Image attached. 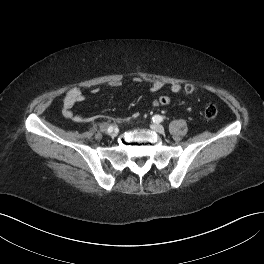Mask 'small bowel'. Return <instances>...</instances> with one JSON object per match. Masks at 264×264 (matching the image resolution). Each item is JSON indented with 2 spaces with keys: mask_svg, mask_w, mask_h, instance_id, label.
<instances>
[{
  "mask_svg": "<svg viewBox=\"0 0 264 264\" xmlns=\"http://www.w3.org/2000/svg\"><path fill=\"white\" fill-rule=\"evenodd\" d=\"M140 78H134V82H140ZM122 82L120 80H112L109 83L110 87H119L121 86ZM164 87V83L162 81L156 80L150 84V91L151 92H158ZM173 93H179L181 91V86L179 84H172L170 87ZM98 89L94 88L92 90L93 93L97 92ZM85 100L83 92L80 88L74 87L67 91L63 100V108H62V115L67 118L71 119L77 123H84L91 121V118H82L81 116L75 115L73 112V108L76 104L81 103ZM153 106H159L158 101L153 102Z\"/></svg>",
  "mask_w": 264,
  "mask_h": 264,
  "instance_id": "small-bowel-1",
  "label": "small bowel"
}]
</instances>
